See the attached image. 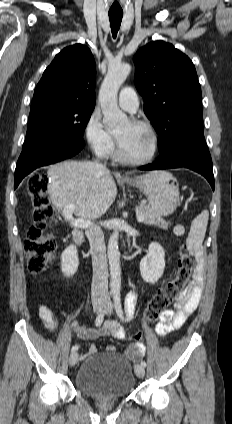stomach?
I'll list each match as a JSON object with an SVG mask.
<instances>
[{
  "instance_id": "0dacf381",
  "label": "stomach",
  "mask_w": 232,
  "mask_h": 424,
  "mask_svg": "<svg viewBox=\"0 0 232 424\" xmlns=\"http://www.w3.org/2000/svg\"><path fill=\"white\" fill-rule=\"evenodd\" d=\"M123 182L143 191L150 207L161 216L172 214L179 205V187L175 177L169 172L152 171Z\"/></svg>"
}]
</instances>
